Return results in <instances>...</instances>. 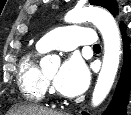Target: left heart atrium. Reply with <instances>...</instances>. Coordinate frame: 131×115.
<instances>
[{"mask_svg":"<svg viewBox=\"0 0 131 115\" xmlns=\"http://www.w3.org/2000/svg\"><path fill=\"white\" fill-rule=\"evenodd\" d=\"M89 83V72L82 60L69 58L54 78V87L61 94L72 97L82 93Z\"/></svg>","mask_w":131,"mask_h":115,"instance_id":"obj_1","label":"left heart atrium"}]
</instances>
